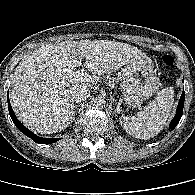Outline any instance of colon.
<instances>
[{
    "label": "colon",
    "mask_w": 195,
    "mask_h": 195,
    "mask_svg": "<svg viewBox=\"0 0 195 195\" xmlns=\"http://www.w3.org/2000/svg\"><path fill=\"white\" fill-rule=\"evenodd\" d=\"M162 63L166 67L172 68L175 65V59L171 55H164L162 56Z\"/></svg>",
    "instance_id": "obj_1"
}]
</instances>
